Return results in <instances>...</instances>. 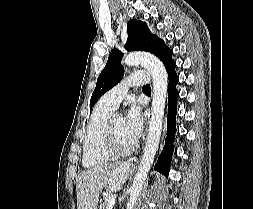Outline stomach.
Listing matches in <instances>:
<instances>
[{
  "label": "stomach",
  "instance_id": "0dacf381",
  "mask_svg": "<svg viewBox=\"0 0 253 209\" xmlns=\"http://www.w3.org/2000/svg\"><path fill=\"white\" fill-rule=\"evenodd\" d=\"M101 190H110V186H113V181H102Z\"/></svg>",
  "mask_w": 253,
  "mask_h": 209
}]
</instances>
